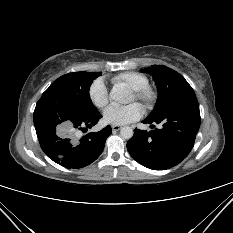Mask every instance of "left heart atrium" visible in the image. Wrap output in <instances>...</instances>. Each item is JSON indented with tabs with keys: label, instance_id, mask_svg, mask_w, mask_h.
Instances as JSON below:
<instances>
[{
	"label": "left heart atrium",
	"instance_id": "1",
	"mask_svg": "<svg viewBox=\"0 0 233 233\" xmlns=\"http://www.w3.org/2000/svg\"><path fill=\"white\" fill-rule=\"evenodd\" d=\"M142 113V107L137 103L110 105L105 109L103 119L108 124L125 125L139 119Z\"/></svg>",
	"mask_w": 233,
	"mask_h": 233
}]
</instances>
